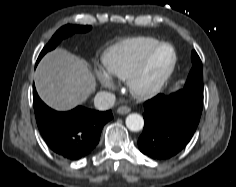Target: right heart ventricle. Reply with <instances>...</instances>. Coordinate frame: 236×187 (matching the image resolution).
Returning <instances> with one entry per match:
<instances>
[{"label": "right heart ventricle", "instance_id": "1", "mask_svg": "<svg viewBox=\"0 0 236 187\" xmlns=\"http://www.w3.org/2000/svg\"><path fill=\"white\" fill-rule=\"evenodd\" d=\"M159 42L151 36L120 40L104 50L102 64L109 75L125 80L143 55Z\"/></svg>", "mask_w": 236, "mask_h": 187}]
</instances>
